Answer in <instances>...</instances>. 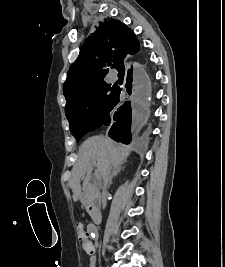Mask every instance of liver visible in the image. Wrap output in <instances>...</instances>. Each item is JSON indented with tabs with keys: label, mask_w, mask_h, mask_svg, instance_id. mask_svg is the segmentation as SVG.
<instances>
[{
	"label": "liver",
	"mask_w": 225,
	"mask_h": 267,
	"mask_svg": "<svg viewBox=\"0 0 225 267\" xmlns=\"http://www.w3.org/2000/svg\"><path fill=\"white\" fill-rule=\"evenodd\" d=\"M130 148L115 144L113 140L104 136H93L85 140L79 148V157L72 170L69 185L73 191V200L81 196L80 180L86 175L83 189L87 186L92 166L97 167V178L103 179L107 169L118 166L126 161Z\"/></svg>",
	"instance_id": "1"
}]
</instances>
